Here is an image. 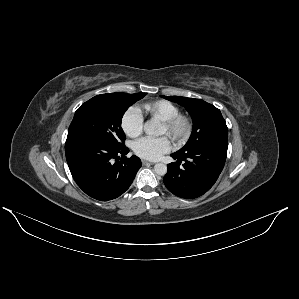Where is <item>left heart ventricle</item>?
<instances>
[{
  "mask_svg": "<svg viewBox=\"0 0 299 299\" xmlns=\"http://www.w3.org/2000/svg\"><path fill=\"white\" fill-rule=\"evenodd\" d=\"M162 133H164V134L167 133V130H166L165 126H163Z\"/></svg>",
  "mask_w": 299,
  "mask_h": 299,
  "instance_id": "1",
  "label": "left heart ventricle"
}]
</instances>
